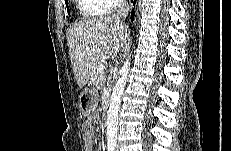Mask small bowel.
I'll list each match as a JSON object with an SVG mask.
<instances>
[{"instance_id": "small-bowel-1", "label": "small bowel", "mask_w": 231, "mask_h": 151, "mask_svg": "<svg viewBox=\"0 0 231 151\" xmlns=\"http://www.w3.org/2000/svg\"><path fill=\"white\" fill-rule=\"evenodd\" d=\"M85 151H93L94 135L92 119L88 118L83 124Z\"/></svg>"}]
</instances>
